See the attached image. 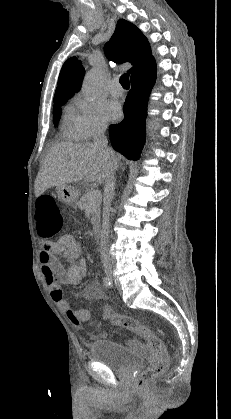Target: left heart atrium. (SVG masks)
<instances>
[{
	"label": "left heart atrium",
	"mask_w": 231,
	"mask_h": 419,
	"mask_svg": "<svg viewBox=\"0 0 231 419\" xmlns=\"http://www.w3.org/2000/svg\"><path fill=\"white\" fill-rule=\"evenodd\" d=\"M104 112L107 118L115 121L121 116V107L117 102L111 101L105 105Z\"/></svg>",
	"instance_id": "left-heart-atrium-1"
}]
</instances>
